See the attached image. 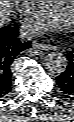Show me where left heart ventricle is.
Wrapping results in <instances>:
<instances>
[{
    "instance_id": "left-heart-ventricle-1",
    "label": "left heart ventricle",
    "mask_w": 74,
    "mask_h": 122,
    "mask_svg": "<svg viewBox=\"0 0 74 122\" xmlns=\"http://www.w3.org/2000/svg\"><path fill=\"white\" fill-rule=\"evenodd\" d=\"M48 6L55 15L69 19L73 9V1H48Z\"/></svg>"
}]
</instances>
